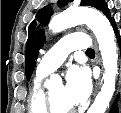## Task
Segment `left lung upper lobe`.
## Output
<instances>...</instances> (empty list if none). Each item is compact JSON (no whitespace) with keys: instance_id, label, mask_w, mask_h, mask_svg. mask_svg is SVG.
I'll use <instances>...</instances> for the list:
<instances>
[{"instance_id":"obj_1","label":"left lung upper lobe","mask_w":121,"mask_h":113,"mask_svg":"<svg viewBox=\"0 0 121 113\" xmlns=\"http://www.w3.org/2000/svg\"><path fill=\"white\" fill-rule=\"evenodd\" d=\"M73 0H59V6H65L68 2ZM82 6H91L95 7L98 10L102 11L107 17H110L109 9L104 0H81L80 3ZM53 10L50 6L42 8L36 15V20H34L29 26L28 40L26 44V79L29 81L33 70L36 66V59L38 57V50L44 44L45 36L42 29H36V26L46 25ZM110 19V18H109Z\"/></svg>"}]
</instances>
